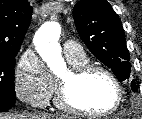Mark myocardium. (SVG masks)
<instances>
[{
  "mask_svg": "<svg viewBox=\"0 0 142 119\" xmlns=\"http://www.w3.org/2000/svg\"><path fill=\"white\" fill-rule=\"evenodd\" d=\"M99 72L107 76L113 83L116 90V99L112 107L101 112H91L77 105L72 99L73 88L91 73ZM123 100L122 86L117 77L107 68L93 63H86L78 66H71L66 74L59 77L56 82V105L67 112L87 116L105 117L115 113Z\"/></svg>",
  "mask_w": 142,
  "mask_h": 119,
  "instance_id": "f54148a6",
  "label": "myocardium"
}]
</instances>
